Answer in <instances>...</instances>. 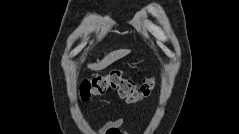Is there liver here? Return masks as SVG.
Returning a JSON list of instances; mask_svg holds the SVG:
<instances>
[{"instance_id": "obj_1", "label": "liver", "mask_w": 239, "mask_h": 134, "mask_svg": "<svg viewBox=\"0 0 239 134\" xmlns=\"http://www.w3.org/2000/svg\"><path fill=\"white\" fill-rule=\"evenodd\" d=\"M130 53V50L127 49H121L117 51H113L106 55L100 62L89 64L88 67L92 70L98 71L106 68L113 62L123 58L124 56L128 55Z\"/></svg>"}]
</instances>
